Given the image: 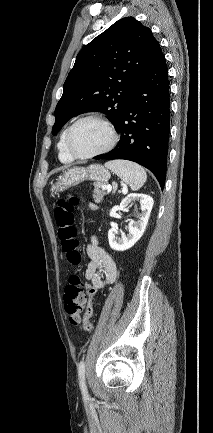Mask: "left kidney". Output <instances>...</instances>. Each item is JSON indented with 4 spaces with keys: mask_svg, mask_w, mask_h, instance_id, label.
<instances>
[{
    "mask_svg": "<svg viewBox=\"0 0 213 433\" xmlns=\"http://www.w3.org/2000/svg\"><path fill=\"white\" fill-rule=\"evenodd\" d=\"M132 201H139L141 204V213L137 222H129L128 231L126 235L121 231V238H117L116 234L119 233L118 228L112 227L108 231L109 245L113 250L125 251L132 246L142 237L153 207V198L146 194L132 193L127 195L120 203V209H125Z\"/></svg>",
    "mask_w": 213,
    "mask_h": 433,
    "instance_id": "obj_1",
    "label": "left kidney"
}]
</instances>
